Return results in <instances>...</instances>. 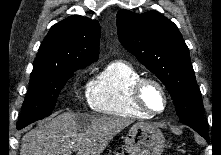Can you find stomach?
I'll return each mask as SVG.
<instances>
[{"label": "stomach", "instance_id": "obj_1", "mask_svg": "<svg viewBox=\"0 0 221 155\" xmlns=\"http://www.w3.org/2000/svg\"><path fill=\"white\" fill-rule=\"evenodd\" d=\"M125 145L131 155H161L165 148V138L158 127L137 123L125 137Z\"/></svg>", "mask_w": 221, "mask_h": 155}]
</instances>
